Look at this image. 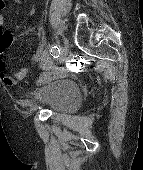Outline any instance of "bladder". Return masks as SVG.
<instances>
[{
	"instance_id": "1",
	"label": "bladder",
	"mask_w": 143,
	"mask_h": 170,
	"mask_svg": "<svg viewBox=\"0 0 143 170\" xmlns=\"http://www.w3.org/2000/svg\"><path fill=\"white\" fill-rule=\"evenodd\" d=\"M24 97L30 106L67 114L76 111L82 101L76 82L62 77L27 89Z\"/></svg>"
}]
</instances>
